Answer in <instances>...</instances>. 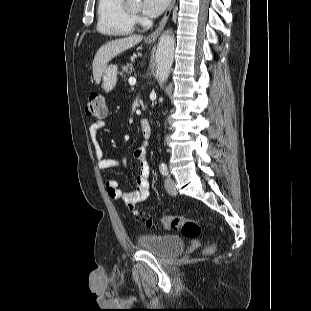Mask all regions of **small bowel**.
I'll return each instance as SVG.
<instances>
[{
	"label": "small bowel",
	"mask_w": 311,
	"mask_h": 311,
	"mask_svg": "<svg viewBox=\"0 0 311 311\" xmlns=\"http://www.w3.org/2000/svg\"><path fill=\"white\" fill-rule=\"evenodd\" d=\"M104 126V121H96L88 128L89 136L93 142L94 155L97 160V165L102 170L121 168L126 165V158L121 157L120 159H114L105 157L102 148L97 141V134ZM147 149L148 144L144 141L134 151V157L139 164V172L136 177L135 189L123 191L118 187V183L115 179H107L105 181L110 198L123 202L130 208V210H133L137 203L145 201L150 194V168L146 160Z\"/></svg>",
	"instance_id": "1"
}]
</instances>
